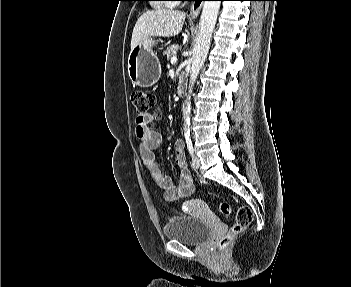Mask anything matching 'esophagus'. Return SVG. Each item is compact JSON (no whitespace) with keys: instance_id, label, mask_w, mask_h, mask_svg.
<instances>
[{"instance_id":"obj_1","label":"esophagus","mask_w":351,"mask_h":287,"mask_svg":"<svg viewBox=\"0 0 351 287\" xmlns=\"http://www.w3.org/2000/svg\"><path fill=\"white\" fill-rule=\"evenodd\" d=\"M203 5V0H193L190 8V18L195 19L200 14Z\"/></svg>"}]
</instances>
